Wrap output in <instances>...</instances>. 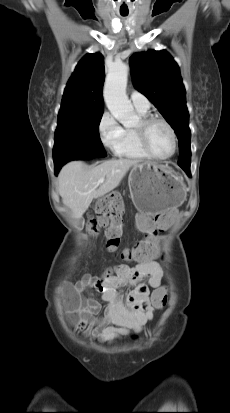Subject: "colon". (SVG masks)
<instances>
[{"instance_id":"5ec220e1","label":"colon","mask_w":230,"mask_h":413,"mask_svg":"<svg viewBox=\"0 0 230 413\" xmlns=\"http://www.w3.org/2000/svg\"><path fill=\"white\" fill-rule=\"evenodd\" d=\"M100 201L95 207V215L89 220L88 230L95 235L100 229L105 228L106 243L108 251L114 252L118 249L120 239L123 235V210L124 194L122 192H102ZM149 238L132 248L122 251L121 257L129 261H145L153 259L159 254L155 239L160 231H145ZM153 304L162 308L167 301V295L164 293H155L152 296ZM68 309H74L73 301L68 303Z\"/></svg>"}]
</instances>
